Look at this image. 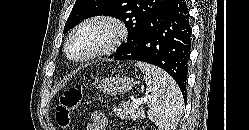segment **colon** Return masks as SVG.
Returning a JSON list of instances; mask_svg holds the SVG:
<instances>
[{"mask_svg": "<svg viewBox=\"0 0 249 130\" xmlns=\"http://www.w3.org/2000/svg\"><path fill=\"white\" fill-rule=\"evenodd\" d=\"M83 96L82 86L73 85L65 90L55 105V119L61 128H67L74 111L79 107Z\"/></svg>", "mask_w": 249, "mask_h": 130, "instance_id": "5ec220e1", "label": "colon"}]
</instances>
